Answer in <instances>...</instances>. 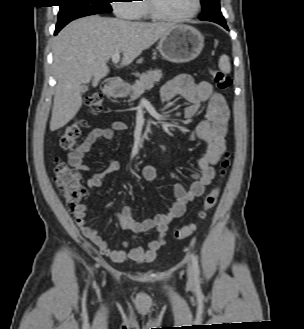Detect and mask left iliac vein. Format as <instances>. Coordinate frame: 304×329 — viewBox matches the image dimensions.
Segmentation results:
<instances>
[{"label": "left iliac vein", "mask_w": 304, "mask_h": 329, "mask_svg": "<svg viewBox=\"0 0 304 329\" xmlns=\"http://www.w3.org/2000/svg\"><path fill=\"white\" fill-rule=\"evenodd\" d=\"M187 275H188V279H189L190 281H192V280H193V270H192V268H191L190 265H188Z\"/></svg>", "instance_id": "obj_1"}]
</instances>
